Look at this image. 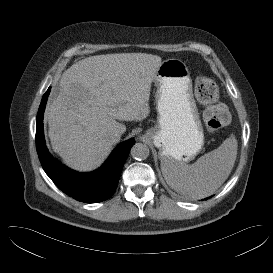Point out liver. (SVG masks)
<instances>
[{
    "instance_id": "6515ba94",
    "label": "liver",
    "mask_w": 273,
    "mask_h": 273,
    "mask_svg": "<svg viewBox=\"0 0 273 273\" xmlns=\"http://www.w3.org/2000/svg\"><path fill=\"white\" fill-rule=\"evenodd\" d=\"M162 63L146 53H115L82 59L63 74L47 121L53 150L71 168L95 170L112 150V133L149 115L151 83ZM118 120V121H117Z\"/></svg>"
}]
</instances>
